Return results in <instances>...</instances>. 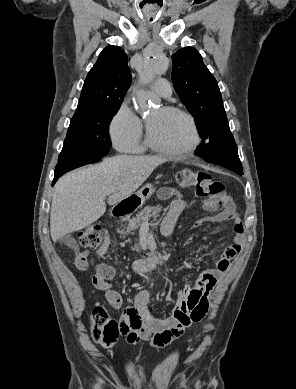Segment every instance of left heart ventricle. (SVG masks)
Segmentation results:
<instances>
[{"label": "left heart ventricle", "mask_w": 296, "mask_h": 389, "mask_svg": "<svg viewBox=\"0 0 296 389\" xmlns=\"http://www.w3.org/2000/svg\"><path fill=\"white\" fill-rule=\"evenodd\" d=\"M147 124L153 140L170 149H181L189 144L192 132L188 121L163 108L155 110L147 118Z\"/></svg>", "instance_id": "1"}]
</instances>
